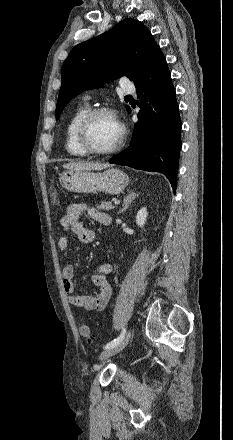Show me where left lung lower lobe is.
<instances>
[{"label": "left lung lower lobe", "mask_w": 233, "mask_h": 440, "mask_svg": "<svg viewBox=\"0 0 233 440\" xmlns=\"http://www.w3.org/2000/svg\"><path fill=\"white\" fill-rule=\"evenodd\" d=\"M134 84L140 111L132 141L126 150L109 162L163 173L175 191L181 120L171 74L162 52L155 56L146 74Z\"/></svg>", "instance_id": "1"}]
</instances>
